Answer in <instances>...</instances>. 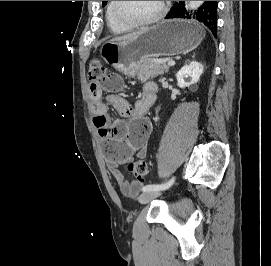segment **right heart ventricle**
I'll use <instances>...</instances> for the list:
<instances>
[{"label": "right heart ventricle", "mask_w": 271, "mask_h": 266, "mask_svg": "<svg viewBox=\"0 0 271 266\" xmlns=\"http://www.w3.org/2000/svg\"><path fill=\"white\" fill-rule=\"evenodd\" d=\"M113 5H114V1H108L106 11H105L106 22L109 29L115 34H123V33L128 32L130 28L121 24L115 18L114 13H113Z\"/></svg>", "instance_id": "obj_1"}]
</instances>
